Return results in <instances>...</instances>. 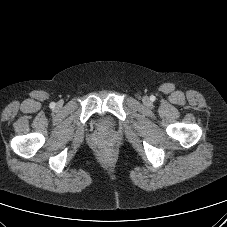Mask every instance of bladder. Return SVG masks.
I'll return each mask as SVG.
<instances>
[{
	"label": "bladder",
	"instance_id": "1",
	"mask_svg": "<svg viewBox=\"0 0 227 227\" xmlns=\"http://www.w3.org/2000/svg\"><path fill=\"white\" fill-rule=\"evenodd\" d=\"M112 124V119L108 114H99L94 118V125L98 128H106Z\"/></svg>",
	"mask_w": 227,
	"mask_h": 227
}]
</instances>
